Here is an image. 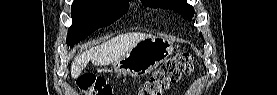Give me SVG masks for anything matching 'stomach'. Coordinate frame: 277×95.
I'll use <instances>...</instances> for the list:
<instances>
[{
	"label": "stomach",
	"mask_w": 277,
	"mask_h": 95,
	"mask_svg": "<svg viewBox=\"0 0 277 95\" xmlns=\"http://www.w3.org/2000/svg\"><path fill=\"white\" fill-rule=\"evenodd\" d=\"M173 52L171 41L151 36L138 42L122 58L113 63L116 74L139 77L152 72Z\"/></svg>",
	"instance_id": "obj_1"
}]
</instances>
